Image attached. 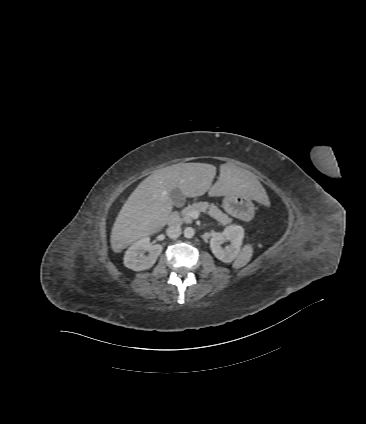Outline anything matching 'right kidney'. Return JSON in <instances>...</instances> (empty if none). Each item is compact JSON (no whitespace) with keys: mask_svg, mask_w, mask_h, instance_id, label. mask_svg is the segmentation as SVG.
Here are the masks:
<instances>
[{"mask_svg":"<svg viewBox=\"0 0 366 424\" xmlns=\"http://www.w3.org/2000/svg\"><path fill=\"white\" fill-rule=\"evenodd\" d=\"M163 247L160 244H154L148 237L141 238L133 243L124 255V265L134 271H142L151 268ZM148 255H143L144 252Z\"/></svg>","mask_w":366,"mask_h":424,"instance_id":"1","label":"right kidney"}]
</instances>
